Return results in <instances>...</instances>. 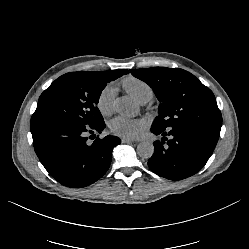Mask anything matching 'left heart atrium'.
<instances>
[{
    "mask_svg": "<svg viewBox=\"0 0 249 249\" xmlns=\"http://www.w3.org/2000/svg\"><path fill=\"white\" fill-rule=\"evenodd\" d=\"M112 132L125 137H136L141 130V123L138 120L125 116H117L110 121Z\"/></svg>",
    "mask_w": 249,
    "mask_h": 249,
    "instance_id": "left-heart-atrium-1",
    "label": "left heart atrium"
}]
</instances>
